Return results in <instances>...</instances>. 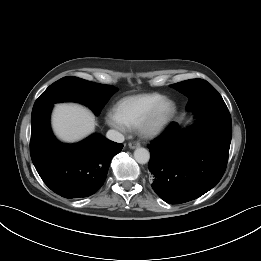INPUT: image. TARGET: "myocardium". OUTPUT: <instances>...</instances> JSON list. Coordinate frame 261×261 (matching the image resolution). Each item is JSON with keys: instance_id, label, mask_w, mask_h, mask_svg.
<instances>
[{"instance_id": "myocardium-1", "label": "myocardium", "mask_w": 261, "mask_h": 261, "mask_svg": "<svg viewBox=\"0 0 261 261\" xmlns=\"http://www.w3.org/2000/svg\"><path fill=\"white\" fill-rule=\"evenodd\" d=\"M177 113L176 103L168 98L160 99L137 125L139 133L151 138L161 134Z\"/></svg>"}]
</instances>
